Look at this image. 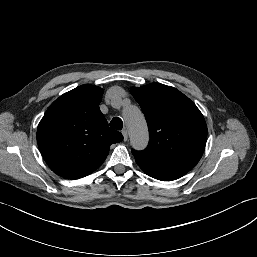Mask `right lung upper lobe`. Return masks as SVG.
<instances>
[{
  "label": "right lung upper lobe",
  "mask_w": 257,
  "mask_h": 257,
  "mask_svg": "<svg viewBox=\"0 0 257 257\" xmlns=\"http://www.w3.org/2000/svg\"><path fill=\"white\" fill-rule=\"evenodd\" d=\"M103 90L84 84L55 100L37 129V142L48 166L58 175L79 179L101 166L110 145L121 142L99 109Z\"/></svg>",
  "instance_id": "right-lung-upper-lobe-1"
}]
</instances>
